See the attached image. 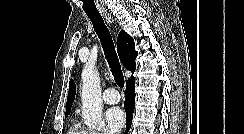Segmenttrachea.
I'll use <instances>...</instances> for the list:
<instances>
[{
	"instance_id": "1",
	"label": "trachea",
	"mask_w": 244,
	"mask_h": 134,
	"mask_svg": "<svg viewBox=\"0 0 244 134\" xmlns=\"http://www.w3.org/2000/svg\"><path fill=\"white\" fill-rule=\"evenodd\" d=\"M87 16L92 21L94 30L100 39L102 44V48L105 54V58L109 64L111 72L114 76V80L116 84L123 88L124 86V76L121 70V65L119 63V59L115 50V46L111 37V34L104 23V20L100 13H88Z\"/></svg>"
}]
</instances>
